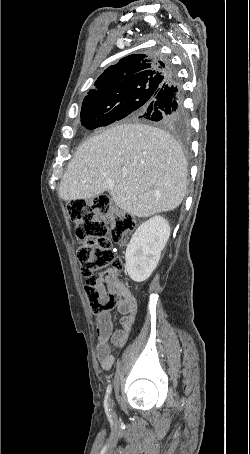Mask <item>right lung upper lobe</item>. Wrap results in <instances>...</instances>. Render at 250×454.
<instances>
[{"label":"right lung upper lobe","mask_w":250,"mask_h":454,"mask_svg":"<svg viewBox=\"0 0 250 454\" xmlns=\"http://www.w3.org/2000/svg\"><path fill=\"white\" fill-rule=\"evenodd\" d=\"M170 74L169 65L155 54H134L108 67L94 83L83 104L101 102L126 95L145 84L160 87Z\"/></svg>","instance_id":"cb5924a9"}]
</instances>
